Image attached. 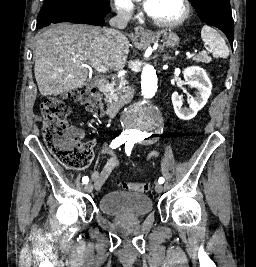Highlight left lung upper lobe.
<instances>
[{
  "instance_id": "left-lung-upper-lobe-1",
  "label": "left lung upper lobe",
  "mask_w": 256,
  "mask_h": 267,
  "mask_svg": "<svg viewBox=\"0 0 256 267\" xmlns=\"http://www.w3.org/2000/svg\"><path fill=\"white\" fill-rule=\"evenodd\" d=\"M191 1L202 21L221 29L233 46L234 23L229 0Z\"/></svg>"
}]
</instances>
